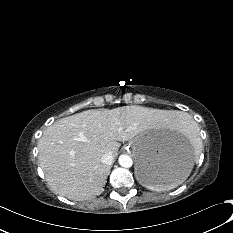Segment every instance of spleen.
<instances>
[{"instance_id": "obj_1", "label": "spleen", "mask_w": 233, "mask_h": 233, "mask_svg": "<svg viewBox=\"0 0 233 233\" xmlns=\"http://www.w3.org/2000/svg\"><path fill=\"white\" fill-rule=\"evenodd\" d=\"M173 127L177 131H179L181 133H184L187 136L192 135L193 136V142L195 144H197L199 142V139L197 138V132L199 130L198 125L188 115H186L185 117L180 118L175 124H173ZM196 154H197V152H196ZM187 177H185L184 179H182L179 182H176L175 184H173L170 187H159V186H157L156 188H152V189L157 190V191L166 190V189H173V188L177 187L178 185H180L181 183H183L187 179Z\"/></svg>"}]
</instances>
